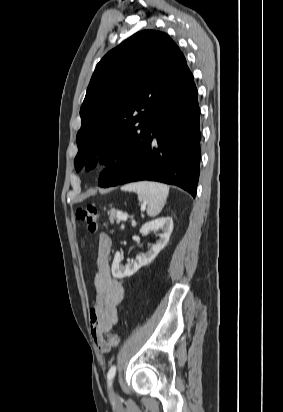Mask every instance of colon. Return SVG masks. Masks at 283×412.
Segmentation results:
<instances>
[{
  "mask_svg": "<svg viewBox=\"0 0 283 412\" xmlns=\"http://www.w3.org/2000/svg\"><path fill=\"white\" fill-rule=\"evenodd\" d=\"M76 218L83 224H85L89 233H95L98 229L99 212L93 205H86L80 207L76 211ZM119 335L116 332H106L102 337V347L112 348L119 345Z\"/></svg>",
  "mask_w": 283,
  "mask_h": 412,
  "instance_id": "obj_1",
  "label": "colon"
}]
</instances>
